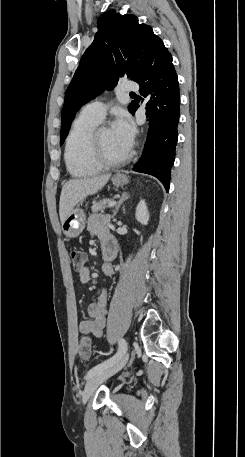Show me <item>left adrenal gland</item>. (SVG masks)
<instances>
[{
	"label": "left adrenal gland",
	"mask_w": 245,
	"mask_h": 457,
	"mask_svg": "<svg viewBox=\"0 0 245 457\" xmlns=\"http://www.w3.org/2000/svg\"><path fill=\"white\" fill-rule=\"evenodd\" d=\"M128 196H129V194H127V192H123L121 198H119V202H117V204L115 206V210H113V214H112L113 218H115L122 202H124V200H126V198H128Z\"/></svg>",
	"instance_id": "left-adrenal-gland-1"
}]
</instances>
